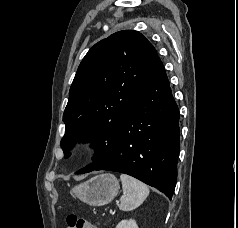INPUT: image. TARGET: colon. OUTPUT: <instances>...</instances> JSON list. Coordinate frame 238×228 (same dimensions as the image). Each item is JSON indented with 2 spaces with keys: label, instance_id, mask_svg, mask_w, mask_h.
<instances>
[{
  "label": "colon",
  "instance_id": "5ec220e1",
  "mask_svg": "<svg viewBox=\"0 0 238 228\" xmlns=\"http://www.w3.org/2000/svg\"><path fill=\"white\" fill-rule=\"evenodd\" d=\"M66 221L68 228H98L88 219L77 216L75 214L68 215Z\"/></svg>",
  "mask_w": 238,
  "mask_h": 228
}]
</instances>
